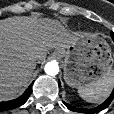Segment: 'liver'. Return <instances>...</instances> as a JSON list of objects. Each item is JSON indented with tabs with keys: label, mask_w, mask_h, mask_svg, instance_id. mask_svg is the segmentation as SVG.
<instances>
[{
	"label": "liver",
	"mask_w": 114,
	"mask_h": 114,
	"mask_svg": "<svg viewBox=\"0 0 114 114\" xmlns=\"http://www.w3.org/2000/svg\"><path fill=\"white\" fill-rule=\"evenodd\" d=\"M79 36L59 21L13 17L0 21V101L15 97L26 86L49 49L66 48Z\"/></svg>",
	"instance_id": "6515ba94"
}]
</instances>
